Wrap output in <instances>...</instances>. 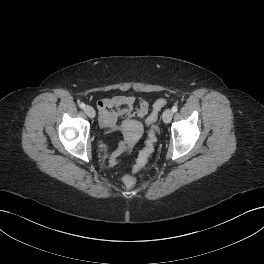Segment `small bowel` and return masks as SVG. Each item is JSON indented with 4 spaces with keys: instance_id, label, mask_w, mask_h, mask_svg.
Here are the masks:
<instances>
[{
    "instance_id": "small-bowel-1",
    "label": "small bowel",
    "mask_w": 264,
    "mask_h": 264,
    "mask_svg": "<svg viewBox=\"0 0 264 264\" xmlns=\"http://www.w3.org/2000/svg\"><path fill=\"white\" fill-rule=\"evenodd\" d=\"M101 126L112 132H119L130 125L134 119L142 120L149 112V103L144 99L137 100L134 96L118 95L110 98H101L96 102ZM125 117L123 124L118 120ZM126 143L123 141L111 155V163L115 164L118 157L124 152Z\"/></svg>"
}]
</instances>
